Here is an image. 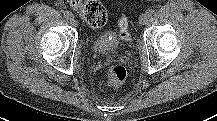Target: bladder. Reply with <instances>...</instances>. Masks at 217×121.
Segmentation results:
<instances>
[{"instance_id": "1", "label": "bladder", "mask_w": 217, "mask_h": 121, "mask_svg": "<svg viewBox=\"0 0 217 121\" xmlns=\"http://www.w3.org/2000/svg\"><path fill=\"white\" fill-rule=\"evenodd\" d=\"M117 42L115 40H108L107 37H99L94 42V49L100 53H106L115 48Z\"/></svg>"}]
</instances>
